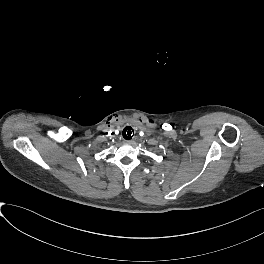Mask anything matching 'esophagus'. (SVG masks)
<instances>
[{
    "instance_id": "1",
    "label": "esophagus",
    "mask_w": 264,
    "mask_h": 264,
    "mask_svg": "<svg viewBox=\"0 0 264 264\" xmlns=\"http://www.w3.org/2000/svg\"><path fill=\"white\" fill-rule=\"evenodd\" d=\"M125 143L129 144V143H131V141H129V140H126V141H125Z\"/></svg>"
}]
</instances>
